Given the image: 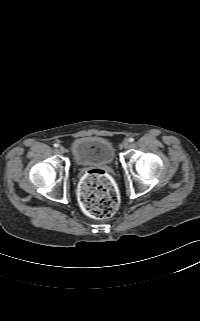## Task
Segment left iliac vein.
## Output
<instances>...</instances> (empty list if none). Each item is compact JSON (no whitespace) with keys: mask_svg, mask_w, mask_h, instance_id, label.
<instances>
[{"mask_svg":"<svg viewBox=\"0 0 200 321\" xmlns=\"http://www.w3.org/2000/svg\"><path fill=\"white\" fill-rule=\"evenodd\" d=\"M123 147H124L125 149L129 148V147H130V142H129L128 140H125V141L123 142Z\"/></svg>","mask_w":200,"mask_h":321,"instance_id":"obj_1","label":"left iliac vein"}]
</instances>
